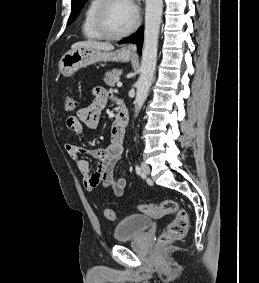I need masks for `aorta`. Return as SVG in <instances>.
Here are the masks:
<instances>
[{"instance_id":"obj_1","label":"aorta","mask_w":259,"mask_h":283,"mask_svg":"<svg viewBox=\"0 0 259 283\" xmlns=\"http://www.w3.org/2000/svg\"><path fill=\"white\" fill-rule=\"evenodd\" d=\"M162 11L163 0H146L141 73L136 82L137 91L134 101L136 116L148 96L156 70Z\"/></svg>"}]
</instances>
